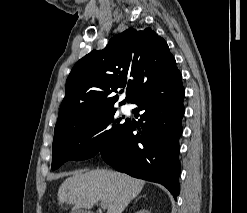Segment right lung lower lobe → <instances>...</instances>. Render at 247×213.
Wrapping results in <instances>:
<instances>
[{
	"label": "right lung lower lobe",
	"instance_id": "right-lung-lower-lobe-1",
	"mask_svg": "<svg viewBox=\"0 0 247 213\" xmlns=\"http://www.w3.org/2000/svg\"><path fill=\"white\" fill-rule=\"evenodd\" d=\"M185 90L175 66L142 88L130 101L138 124L126 120L112 149L103 159L119 172L164 185L176 199L180 192L179 137ZM139 113H141L139 115ZM138 129L139 132L134 134Z\"/></svg>",
	"mask_w": 247,
	"mask_h": 213
}]
</instances>
